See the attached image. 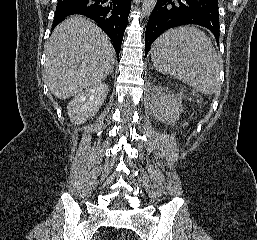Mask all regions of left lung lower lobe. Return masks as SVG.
<instances>
[{"label": "left lung lower lobe", "instance_id": "obj_1", "mask_svg": "<svg viewBox=\"0 0 257 240\" xmlns=\"http://www.w3.org/2000/svg\"><path fill=\"white\" fill-rule=\"evenodd\" d=\"M189 24L207 28L219 43L217 0H157L146 27L145 56L164 31Z\"/></svg>", "mask_w": 257, "mask_h": 240}]
</instances>
